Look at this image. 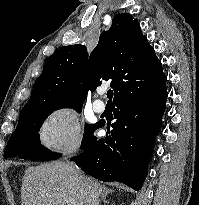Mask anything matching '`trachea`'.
<instances>
[{
    "instance_id": "trachea-1",
    "label": "trachea",
    "mask_w": 199,
    "mask_h": 205,
    "mask_svg": "<svg viewBox=\"0 0 199 205\" xmlns=\"http://www.w3.org/2000/svg\"><path fill=\"white\" fill-rule=\"evenodd\" d=\"M112 97H113V91H112V90H108V91H107V98H108L109 100H112Z\"/></svg>"
}]
</instances>
